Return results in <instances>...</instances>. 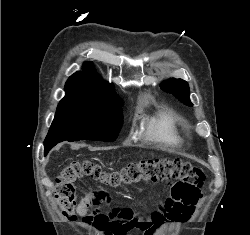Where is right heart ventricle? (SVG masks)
<instances>
[{
	"label": "right heart ventricle",
	"instance_id": "e07e8e85",
	"mask_svg": "<svg viewBox=\"0 0 250 235\" xmlns=\"http://www.w3.org/2000/svg\"><path fill=\"white\" fill-rule=\"evenodd\" d=\"M179 125L178 115L169 108H162L145 120L146 136L162 145L179 146L182 144Z\"/></svg>",
	"mask_w": 250,
	"mask_h": 235
}]
</instances>
